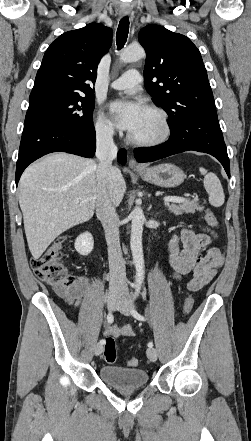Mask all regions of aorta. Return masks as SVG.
<instances>
[{"instance_id": "1", "label": "aorta", "mask_w": 251, "mask_h": 441, "mask_svg": "<svg viewBox=\"0 0 251 441\" xmlns=\"http://www.w3.org/2000/svg\"><path fill=\"white\" fill-rule=\"evenodd\" d=\"M145 58V51L141 47H128L122 51L120 60L122 62H133ZM131 236L130 247L133 262L136 269L135 286L140 288L144 280V258L142 248V232L145 221L144 212L141 207L136 206L131 212Z\"/></svg>"}]
</instances>
